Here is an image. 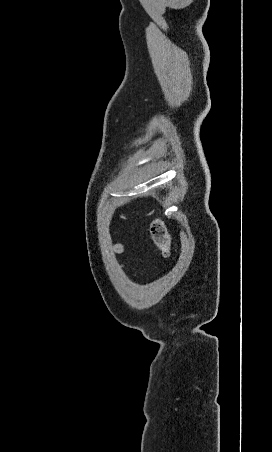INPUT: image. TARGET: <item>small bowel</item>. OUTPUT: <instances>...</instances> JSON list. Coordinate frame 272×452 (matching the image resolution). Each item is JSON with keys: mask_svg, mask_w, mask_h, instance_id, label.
<instances>
[{"mask_svg": "<svg viewBox=\"0 0 272 452\" xmlns=\"http://www.w3.org/2000/svg\"><path fill=\"white\" fill-rule=\"evenodd\" d=\"M114 251L117 254H123L125 250H124L123 245L118 243V244H115Z\"/></svg>", "mask_w": 272, "mask_h": 452, "instance_id": "small-bowel-1", "label": "small bowel"}]
</instances>
